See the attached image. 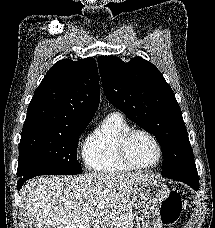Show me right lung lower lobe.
Wrapping results in <instances>:
<instances>
[{"mask_svg":"<svg viewBox=\"0 0 215 228\" xmlns=\"http://www.w3.org/2000/svg\"><path fill=\"white\" fill-rule=\"evenodd\" d=\"M28 179H30V178H20V179L18 180V183H17V188H18V190L21 189L23 183H24L26 180H28Z\"/></svg>","mask_w":215,"mask_h":228,"instance_id":"obj_1","label":"right lung lower lobe"}]
</instances>
